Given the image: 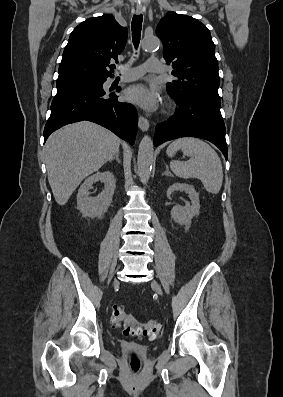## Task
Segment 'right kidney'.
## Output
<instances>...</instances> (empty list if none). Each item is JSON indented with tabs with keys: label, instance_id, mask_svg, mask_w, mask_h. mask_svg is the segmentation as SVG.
<instances>
[{
	"label": "right kidney",
	"instance_id": "right-kidney-1",
	"mask_svg": "<svg viewBox=\"0 0 283 397\" xmlns=\"http://www.w3.org/2000/svg\"><path fill=\"white\" fill-rule=\"evenodd\" d=\"M101 181L104 183V190L95 198L89 197V190L93 183ZM116 180L110 171L97 172L88 177L78 190L77 207L83 217H101L107 212L114 195Z\"/></svg>",
	"mask_w": 283,
	"mask_h": 397
}]
</instances>
